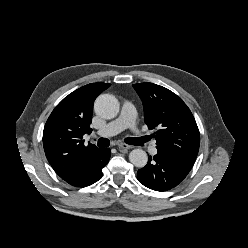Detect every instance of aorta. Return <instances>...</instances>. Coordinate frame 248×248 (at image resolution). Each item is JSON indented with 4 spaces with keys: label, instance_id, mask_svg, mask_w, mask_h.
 Listing matches in <instances>:
<instances>
[{
    "label": "aorta",
    "instance_id": "obj_1",
    "mask_svg": "<svg viewBox=\"0 0 248 248\" xmlns=\"http://www.w3.org/2000/svg\"><path fill=\"white\" fill-rule=\"evenodd\" d=\"M95 112L105 118L112 119L117 116L119 112V101L111 94H102L95 101ZM130 162L139 168L144 167L148 162L147 153L142 149H134L129 154Z\"/></svg>",
    "mask_w": 248,
    "mask_h": 248
}]
</instances>
